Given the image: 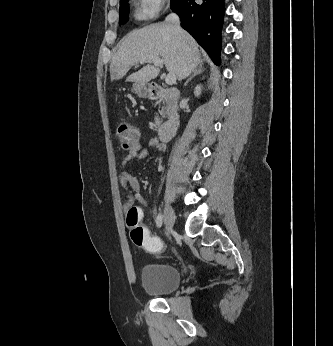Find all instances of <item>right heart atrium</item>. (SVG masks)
I'll list each match as a JSON object with an SVG mask.
<instances>
[{
    "mask_svg": "<svg viewBox=\"0 0 333 346\" xmlns=\"http://www.w3.org/2000/svg\"><path fill=\"white\" fill-rule=\"evenodd\" d=\"M166 0H137V14L140 19H152L158 15Z\"/></svg>",
    "mask_w": 333,
    "mask_h": 346,
    "instance_id": "obj_1",
    "label": "right heart atrium"
}]
</instances>
